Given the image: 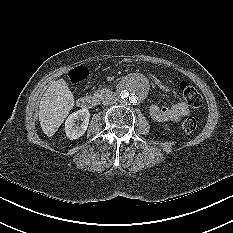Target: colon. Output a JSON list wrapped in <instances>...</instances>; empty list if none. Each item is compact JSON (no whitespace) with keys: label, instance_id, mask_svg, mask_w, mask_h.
<instances>
[{"label":"colon","instance_id":"1","mask_svg":"<svg viewBox=\"0 0 233 233\" xmlns=\"http://www.w3.org/2000/svg\"><path fill=\"white\" fill-rule=\"evenodd\" d=\"M87 76V70L84 67H79L74 69L69 77L73 83H78L83 81ZM180 90L183 94L186 102L194 109H198L203 105V98L201 94L188 82L180 83ZM184 131L193 132L198 127V122L195 118L190 117L183 122L182 125Z\"/></svg>","mask_w":233,"mask_h":233}]
</instances>
